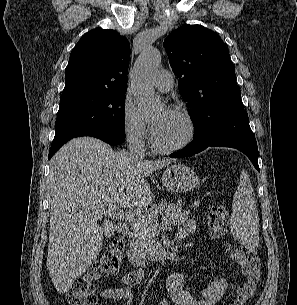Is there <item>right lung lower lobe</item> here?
I'll use <instances>...</instances> for the list:
<instances>
[{
	"label": "right lung lower lobe",
	"instance_id": "98d812e1",
	"mask_svg": "<svg viewBox=\"0 0 297 305\" xmlns=\"http://www.w3.org/2000/svg\"><path fill=\"white\" fill-rule=\"evenodd\" d=\"M79 136L96 137L111 145L120 144L125 140L124 132H114V131H89V132L83 133ZM61 146L54 147V148L51 147L48 158L51 159V157L56 153L57 150H59L61 148Z\"/></svg>",
	"mask_w": 297,
	"mask_h": 305
}]
</instances>
